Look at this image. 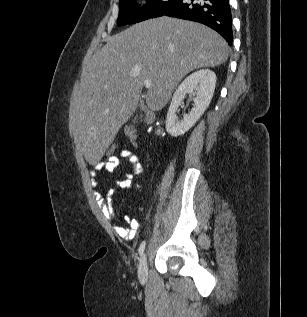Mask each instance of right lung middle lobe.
<instances>
[{
    "mask_svg": "<svg viewBox=\"0 0 307 317\" xmlns=\"http://www.w3.org/2000/svg\"><path fill=\"white\" fill-rule=\"evenodd\" d=\"M176 0H146V5L140 8L134 0L119 2L117 25L134 24L150 18L161 16Z\"/></svg>",
    "mask_w": 307,
    "mask_h": 317,
    "instance_id": "obj_1",
    "label": "right lung middle lobe"
}]
</instances>
